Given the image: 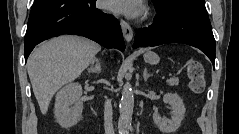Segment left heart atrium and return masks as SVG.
<instances>
[{
	"label": "left heart atrium",
	"instance_id": "1",
	"mask_svg": "<svg viewBox=\"0 0 239 134\" xmlns=\"http://www.w3.org/2000/svg\"><path fill=\"white\" fill-rule=\"evenodd\" d=\"M106 3L109 10L128 17H136L143 11L142 4L138 0H108Z\"/></svg>",
	"mask_w": 239,
	"mask_h": 134
}]
</instances>
